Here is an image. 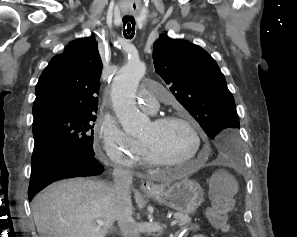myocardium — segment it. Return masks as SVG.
Returning a JSON list of instances; mask_svg holds the SVG:
<instances>
[{"instance_id": "obj_1", "label": "myocardium", "mask_w": 297, "mask_h": 237, "mask_svg": "<svg viewBox=\"0 0 297 237\" xmlns=\"http://www.w3.org/2000/svg\"><path fill=\"white\" fill-rule=\"evenodd\" d=\"M152 121L155 124H166V123L178 122L186 125L194 137L196 149H195V152L188 158H185L183 160L173 161V160H168L164 158L163 156L155 152L147 143L140 141L141 146L143 147L150 164L155 166H177V165L187 164L193 160H196L199 157L202 149V138L197 127L189 118L183 115L173 114V115L157 116Z\"/></svg>"}]
</instances>
